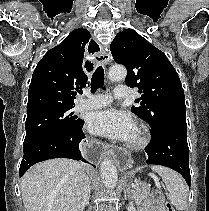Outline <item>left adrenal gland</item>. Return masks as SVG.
Returning a JSON list of instances; mask_svg holds the SVG:
<instances>
[{
	"instance_id": "a2214340",
	"label": "left adrenal gland",
	"mask_w": 209,
	"mask_h": 211,
	"mask_svg": "<svg viewBox=\"0 0 209 211\" xmlns=\"http://www.w3.org/2000/svg\"><path fill=\"white\" fill-rule=\"evenodd\" d=\"M130 189H131L130 184H127V185H126V191H125V198L128 197V198L131 199Z\"/></svg>"
}]
</instances>
